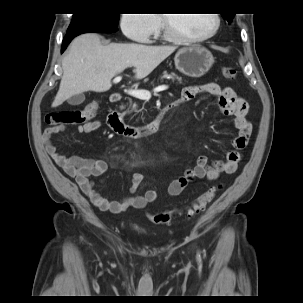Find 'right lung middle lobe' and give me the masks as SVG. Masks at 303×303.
Here are the masks:
<instances>
[{"label":"right lung middle lobe","instance_id":"dd1d6c3e","mask_svg":"<svg viewBox=\"0 0 303 303\" xmlns=\"http://www.w3.org/2000/svg\"><path fill=\"white\" fill-rule=\"evenodd\" d=\"M120 14L118 13H81L73 14V20L67 33L79 31L89 26H117Z\"/></svg>","mask_w":303,"mask_h":303}]
</instances>
